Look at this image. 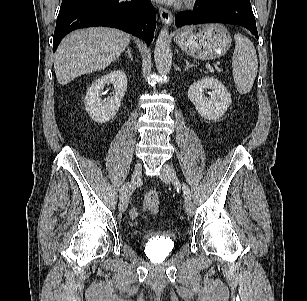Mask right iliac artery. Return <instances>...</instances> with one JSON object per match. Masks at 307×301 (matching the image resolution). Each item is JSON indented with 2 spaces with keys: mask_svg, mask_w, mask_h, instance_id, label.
<instances>
[{
  "mask_svg": "<svg viewBox=\"0 0 307 301\" xmlns=\"http://www.w3.org/2000/svg\"><path fill=\"white\" fill-rule=\"evenodd\" d=\"M132 186L131 183L127 182L125 183L121 189H120V194H119V199L122 200L124 198V196L126 195V192L128 191V189Z\"/></svg>",
  "mask_w": 307,
  "mask_h": 301,
  "instance_id": "82829eb1",
  "label": "right iliac artery"
}]
</instances>
